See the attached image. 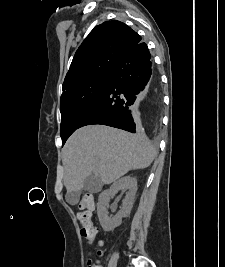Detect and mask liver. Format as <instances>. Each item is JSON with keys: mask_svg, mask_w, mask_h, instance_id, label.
Returning a JSON list of instances; mask_svg holds the SVG:
<instances>
[{"mask_svg": "<svg viewBox=\"0 0 225 267\" xmlns=\"http://www.w3.org/2000/svg\"><path fill=\"white\" fill-rule=\"evenodd\" d=\"M155 156L154 147L142 133L87 125L76 130L62 149L64 185L67 192L80 191L93 172L102 183L110 184L130 170L147 168Z\"/></svg>", "mask_w": 225, "mask_h": 267, "instance_id": "1", "label": "liver"}]
</instances>
